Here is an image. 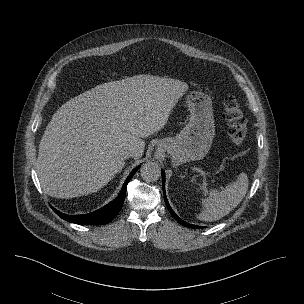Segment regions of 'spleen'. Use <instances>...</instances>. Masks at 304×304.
Segmentation results:
<instances>
[{"label": "spleen", "instance_id": "3e777b00", "mask_svg": "<svg viewBox=\"0 0 304 304\" xmlns=\"http://www.w3.org/2000/svg\"><path fill=\"white\" fill-rule=\"evenodd\" d=\"M248 177L245 173L224 190H210L209 196L202 201L204 209L198 218L203 221H216L230 213L240 204L248 190Z\"/></svg>", "mask_w": 304, "mask_h": 304}]
</instances>
